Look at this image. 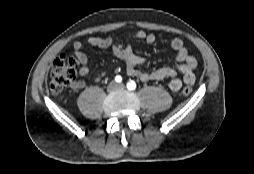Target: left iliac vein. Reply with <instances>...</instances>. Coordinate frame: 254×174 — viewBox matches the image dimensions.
I'll return each instance as SVG.
<instances>
[{
  "mask_svg": "<svg viewBox=\"0 0 254 174\" xmlns=\"http://www.w3.org/2000/svg\"><path fill=\"white\" fill-rule=\"evenodd\" d=\"M118 87L119 88H124V85L123 84H119Z\"/></svg>",
  "mask_w": 254,
  "mask_h": 174,
  "instance_id": "1",
  "label": "left iliac vein"
}]
</instances>
